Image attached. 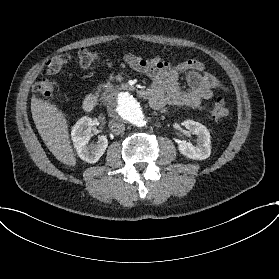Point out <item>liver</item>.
I'll list each match as a JSON object with an SVG mask.
<instances>
[{"instance_id": "1", "label": "liver", "mask_w": 279, "mask_h": 279, "mask_svg": "<svg viewBox=\"0 0 279 279\" xmlns=\"http://www.w3.org/2000/svg\"><path fill=\"white\" fill-rule=\"evenodd\" d=\"M31 112L46 147L66 166L76 167L77 159L70 139L68 118L57 105L33 96Z\"/></svg>"}]
</instances>
